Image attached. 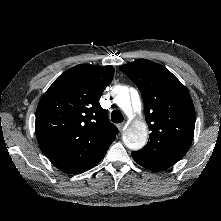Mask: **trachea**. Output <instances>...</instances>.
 I'll return each instance as SVG.
<instances>
[{
	"instance_id": "trachea-1",
	"label": "trachea",
	"mask_w": 221,
	"mask_h": 221,
	"mask_svg": "<svg viewBox=\"0 0 221 221\" xmlns=\"http://www.w3.org/2000/svg\"><path fill=\"white\" fill-rule=\"evenodd\" d=\"M123 119L124 118H123V115H122L121 111H119V110L112 111V113H111L112 122L121 123L123 121Z\"/></svg>"
}]
</instances>
